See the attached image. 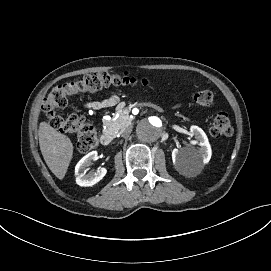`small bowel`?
<instances>
[{
  "label": "small bowel",
  "instance_id": "obj_1",
  "mask_svg": "<svg viewBox=\"0 0 271 271\" xmlns=\"http://www.w3.org/2000/svg\"><path fill=\"white\" fill-rule=\"evenodd\" d=\"M119 97L117 95H111L102 100L88 101L84 104L87 109L99 110L103 108H109L117 105Z\"/></svg>",
  "mask_w": 271,
  "mask_h": 271
}]
</instances>
